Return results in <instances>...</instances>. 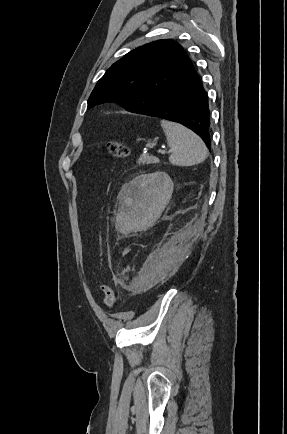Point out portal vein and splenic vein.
<instances>
[{"mask_svg":"<svg viewBox=\"0 0 287 434\" xmlns=\"http://www.w3.org/2000/svg\"><path fill=\"white\" fill-rule=\"evenodd\" d=\"M171 152V150L170 151H168V153H170ZM159 153H161V154H165L166 153V151H164V150H159Z\"/></svg>","mask_w":287,"mask_h":434,"instance_id":"18ae733b","label":"portal vein and splenic vein"}]
</instances>
